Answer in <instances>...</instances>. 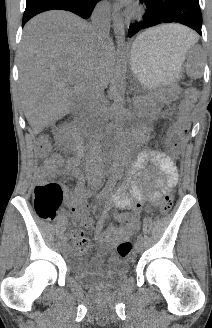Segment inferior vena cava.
<instances>
[{"instance_id":"602c4592","label":"inferior vena cava","mask_w":212,"mask_h":328,"mask_svg":"<svg viewBox=\"0 0 212 328\" xmlns=\"http://www.w3.org/2000/svg\"><path fill=\"white\" fill-rule=\"evenodd\" d=\"M91 20L93 32L98 37H107L110 27V7L107 4L98 5L92 13ZM104 87V82L94 75L90 78L84 93L83 114L91 128L87 154L88 165L92 167L89 171L91 179H98L101 170L95 149L99 145L101 125L104 123L102 114Z\"/></svg>"}]
</instances>
